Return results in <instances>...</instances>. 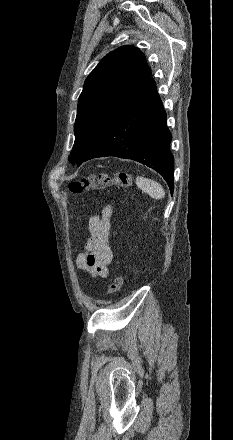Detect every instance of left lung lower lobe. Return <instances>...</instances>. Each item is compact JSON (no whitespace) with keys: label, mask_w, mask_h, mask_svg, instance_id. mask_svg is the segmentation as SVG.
Masks as SVG:
<instances>
[{"label":"left lung lower lobe","mask_w":233,"mask_h":440,"mask_svg":"<svg viewBox=\"0 0 233 440\" xmlns=\"http://www.w3.org/2000/svg\"><path fill=\"white\" fill-rule=\"evenodd\" d=\"M171 139L162 101L155 81L150 78L116 116L105 136L84 161L106 156L138 161L160 173L173 193Z\"/></svg>","instance_id":"obj_1"}]
</instances>
